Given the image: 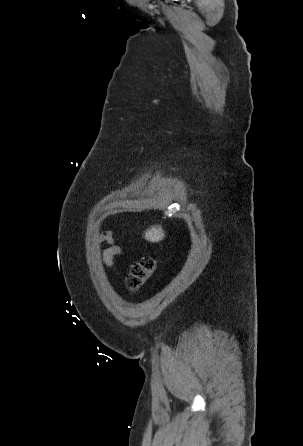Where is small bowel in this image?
Listing matches in <instances>:
<instances>
[{
  "label": "small bowel",
  "instance_id": "c3829d8e",
  "mask_svg": "<svg viewBox=\"0 0 303 446\" xmlns=\"http://www.w3.org/2000/svg\"><path fill=\"white\" fill-rule=\"evenodd\" d=\"M97 243H107L102 252V260L104 264L112 270H116L114 260L116 257H120L123 254V250L116 243L113 235L110 232H104L97 237Z\"/></svg>",
  "mask_w": 303,
  "mask_h": 446
}]
</instances>
